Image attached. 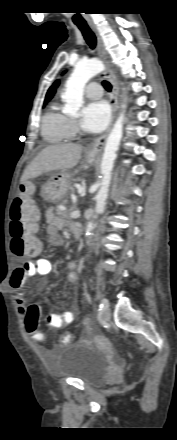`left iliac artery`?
Listing matches in <instances>:
<instances>
[{"label":"left iliac artery","instance_id":"44dca946","mask_svg":"<svg viewBox=\"0 0 177 440\" xmlns=\"http://www.w3.org/2000/svg\"><path fill=\"white\" fill-rule=\"evenodd\" d=\"M108 304H109V303H108V300L105 299V298H103V299L101 300V304H100V311H103V310L107 307Z\"/></svg>","mask_w":177,"mask_h":440}]
</instances>
